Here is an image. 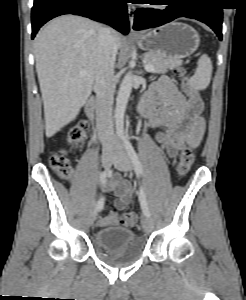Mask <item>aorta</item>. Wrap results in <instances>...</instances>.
I'll use <instances>...</instances> for the list:
<instances>
[{
    "instance_id": "1",
    "label": "aorta",
    "mask_w": 246,
    "mask_h": 300,
    "mask_svg": "<svg viewBox=\"0 0 246 300\" xmlns=\"http://www.w3.org/2000/svg\"><path fill=\"white\" fill-rule=\"evenodd\" d=\"M133 86V74L129 71L123 78L119 87V91L116 98V106L114 111V121L116 127V134L119 138L124 139V116L128 100Z\"/></svg>"
}]
</instances>
